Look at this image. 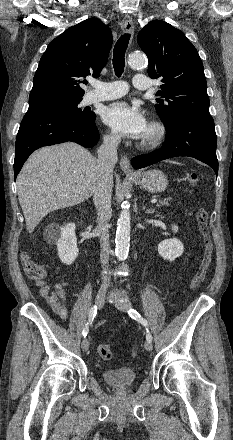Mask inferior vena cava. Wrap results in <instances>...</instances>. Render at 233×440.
Wrapping results in <instances>:
<instances>
[{
	"label": "inferior vena cava",
	"mask_w": 233,
	"mask_h": 440,
	"mask_svg": "<svg viewBox=\"0 0 233 440\" xmlns=\"http://www.w3.org/2000/svg\"><path fill=\"white\" fill-rule=\"evenodd\" d=\"M120 137L117 135H105L103 143L98 149L97 170L98 176L94 186L93 200L97 209L98 226L96 233L100 238V260L103 268L109 262L110 244L107 223L112 216L111 195L113 186V168L116 164L117 147ZM103 284L109 282V277L102 276Z\"/></svg>",
	"instance_id": "obj_1"
}]
</instances>
